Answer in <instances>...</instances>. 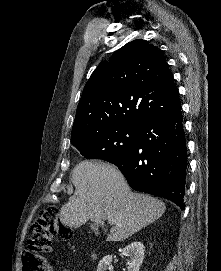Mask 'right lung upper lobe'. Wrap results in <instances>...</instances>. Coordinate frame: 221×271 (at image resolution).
<instances>
[{
  "label": "right lung upper lobe",
  "mask_w": 221,
  "mask_h": 271,
  "mask_svg": "<svg viewBox=\"0 0 221 271\" xmlns=\"http://www.w3.org/2000/svg\"><path fill=\"white\" fill-rule=\"evenodd\" d=\"M181 106L166 58L154 45L134 40L101 62L80 98L71 140L113 126L140 127Z\"/></svg>",
  "instance_id": "1"
}]
</instances>
